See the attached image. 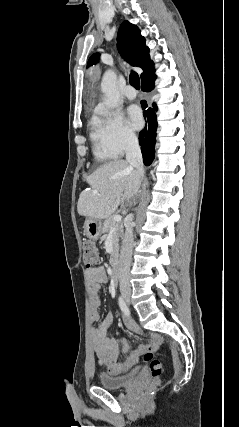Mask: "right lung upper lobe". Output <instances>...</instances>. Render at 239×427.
I'll return each mask as SVG.
<instances>
[{
  "mask_svg": "<svg viewBox=\"0 0 239 427\" xmlns=\"http://www.w3.org/2000/svg\"><path fill=\"white\" fill-rule=\"evenodd\" d=\"M145 38L140 34L136 25L125 20L118 31V49L122 56L126 57L131 65L143 69L141 80L154 75V63L150 60L149 48L145 45ZM99 54H93L88 66L98 61Z\"/></svg>",
  "mask_w": 239,
  "mask_h": 427,
  "instance_id": "1",
  "label": "right lung upper lobe"
}]
</instances>
